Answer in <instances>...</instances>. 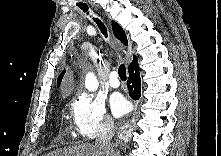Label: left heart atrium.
<instances>
[{"mask_svg": "<svg viewBox=\"0 0 221 156\" xmlns=\"http://www.w3.org/2000/svg\"><path fill=\"white\" fill-rule=\"evenodd\" d=\"M111 110L116 117L122 116L128 111L129 104L126 99L120 95L116 94L111 99Z\"/></svg>", "mask_w": 221, "mask_h": 156, "instance_id": "obj_1", "label": "left heart atrium"}]
</instances>
